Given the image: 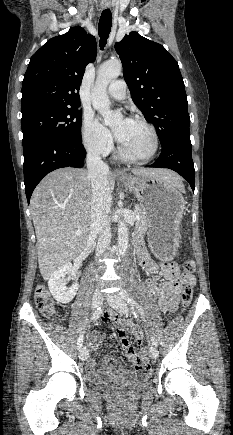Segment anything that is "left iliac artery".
Wrapping results in <instances>:
<instances>
[{
  "instance_id": "1",
  "label": "left iliac artery",
  "mask_w": 233,
  "mask_h": 435,
  "mask_svg": "<svg viewBox=\"0 0 233 435\" xmlns=\"http://www.w3.org/2000/svg\"><path fill=\"white\" fill-rule=\"evenodd\" d=\"M120 296L125 299L132 307H136L138 311L140 312L141 317L145 321V314L141 306L128 294L126 290H122L120 292ZM152 344L154 346H157V340L154 336L151 337Z\"/></svg>"
}]
</instances>
